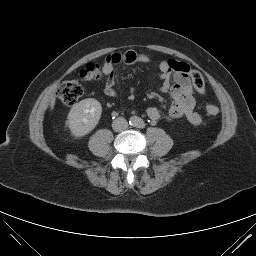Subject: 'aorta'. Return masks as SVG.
Segmentation results:
<instances>
[{"label": "aorta", "mask_w": 256, "mask_h": 256, "mask_svg": "<svg viewBox=\"0 0 256 256\" xmlns=\"http://www.w3.org/2000/svg\"><path fill=\"white\" fill-rule=\"evenodd\" d=\"M139 122H140V118L137 116H133L130 118V124L133 126H137Z\"/></svg>", "instance_id": "aorta-1"}]
</instances>
